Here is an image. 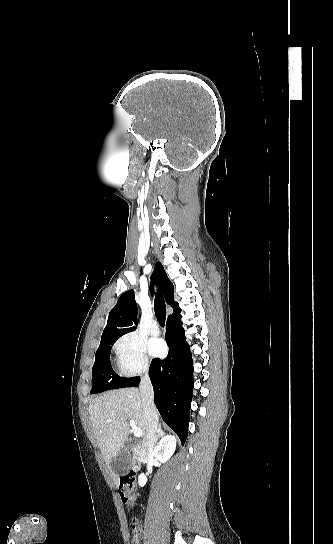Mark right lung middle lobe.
<instances>
[{"label": "right lung middle lobe", "mask_w": 333, "mask_h": 544, "mask_svg": "<svg viewBox=\"0 0 333 544\" xmlns=\"http://www.w3.org/2000/svg\"><path fill=\"white\" fill-rule=\"evenodd\" d=\"M120 336L101 339L100 346L95 354V363L92 368V390L90 394L100 393L110 389L129 387L139 377L123 378L118 376L110 364V351Z\"/></svg>", "instance_id": "1"}]
</instances>
